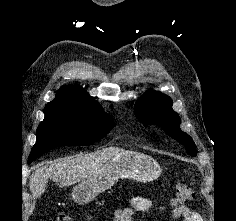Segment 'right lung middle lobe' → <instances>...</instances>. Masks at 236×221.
Returning a JSON list of instances; mask_svg holds the SVG:
<instances>
[{"instance_id":"1","label":"right lung middle lobe","mask_w":236,"mask_h":221,"mask_svg":"<svg viewBox=\"0 0 236 221\" xmlns=\"http://www.w3.org/2000/svg\"><path fill=\"white\" fill-rule=\"evenodd\" d=\"M45 118L37 128V141L28 162L59 146H85L102 139L115 126L101 108L81 110L45 106Z\"/></svg>"}]
</instances>
